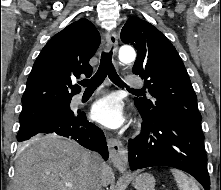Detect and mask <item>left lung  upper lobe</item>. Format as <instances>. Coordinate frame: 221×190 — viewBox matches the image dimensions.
I'll list each match as a JSON object with an SVG mask.
<instances>
[{"label":"left lung upper lobe","mask_w":221,"mask_h":190,"mask_svg":"<svg viewBox=\"0 0 221 190\" xmlns=\"http://www.w3.org/2000/svg\"><path fill=\"white\" fill-rule=\"evenodd\" d=\"M121 40L136 48L133 73L145 79V86L153 96L152 100L135 98L138 110L151 118H178L201 130L196 94L170 41L152 24L136 16L130 17L122 28Z\"/></svg>","instance_id":"5c2ea615"}]
</instances>
